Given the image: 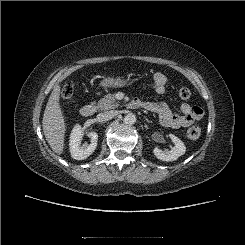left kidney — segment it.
I'll use <instances>...</instances> for the list:
<instances>
[{
    "label": "left kidney",
    "mask_w": 245,
    "mask_h": 245,
    "mask_svg": "<svg viewBox=\"0 0 245 245\" xmlns=\"http://www.w3.org/2000/svg\"><path fill=\"white\" fill-rule=\"evenodd\" d=\"M172 142L174 143V147L171 150H161L160 148H155L153 150L154 155L162 160V161H174L177 160L180 156L184 155L186 152L185 144L181 139L176 137L173 134L169 135Z\"/></svg>",
    "instance_id": "1"
}]
</instances>
